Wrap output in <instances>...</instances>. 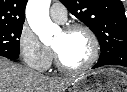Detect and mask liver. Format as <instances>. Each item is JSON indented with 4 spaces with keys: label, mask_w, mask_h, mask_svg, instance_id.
<instances>
[{
    "label": "liver",
    "mask_w": 127,
    "mask_h": 92,
    "mask_svg": "<svg viewBox=\"0 0 127 92\" xmlns=\"http://www.w3.org/2000/svg\"><path fill=\"white\" fill-rule=\"evenodd\" d=\"M77 77H46L0 57V92H65Z\"/></svg>",
    "instance_id": "6515ba94"
}]
</instances>
